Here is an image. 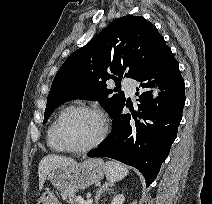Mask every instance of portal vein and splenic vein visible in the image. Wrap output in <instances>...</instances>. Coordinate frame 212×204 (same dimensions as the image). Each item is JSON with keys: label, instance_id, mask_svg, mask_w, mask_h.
Instances as JSON below:
<instances>
[{"label": "portal vein and splenic vein", "instance_id": "1", "mask_svg": "<svg viewBox=\"0 0 212 204\" xmlns=\"http://www.w3.org/2000/svg\"><path fill=\"white\" fill-rule=\"evenodd\" d=\"M76 200L80 203V204H92L93 199H88L87 201H85L81 196H78L76 198Z\"/></svg>", "mask_w": 212, "mask_h": 204}]
</instances>
